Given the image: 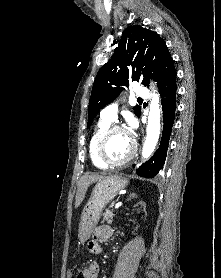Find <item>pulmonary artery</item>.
<instances>
[{"label": "pulmonary artery", "instance_id": "obj_1", "mask_svg": "<svg viewBox=\"0 0 221 278\" xmlns=\"http://www.w3.org/2000/svg\"><path fill=\"white\" fill-rule=\"evenodd\" d=\"M134 97L147 98L148 97L147 88L142 86L137 87L134 93ZM117 111H118V103L117 102L111 103L101 111V117L104 120L112 122L117 118Z\"/></svg>", "mask_w": 221, "mask_h": 278}]
</instances>
